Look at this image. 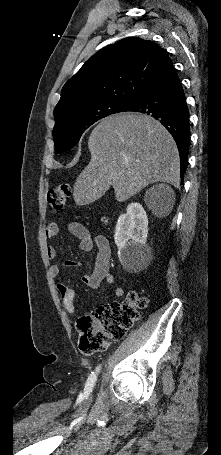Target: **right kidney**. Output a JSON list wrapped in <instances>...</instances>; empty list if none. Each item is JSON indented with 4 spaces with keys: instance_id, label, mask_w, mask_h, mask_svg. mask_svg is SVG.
Instances as JSON below:
<instances>
[{
    "instance_id": "right-kidney-1",
    "label": "right kidney",
    "mask_w": 221,
    "mask_h": 455,
    "mask_svg": "<svg viewBox=\"0 0 221 455\" xmlns=\"http://www.w3.org/2000/svg\"><path fill=\"white\" fill-rule=\"evenodd\" d=\"M147 234L148 218L144 208L137 202L130 203L126 213L118 218L114 235L118 258L124 269H138L150 259Z\"/></svg>"
}]
</instances>
